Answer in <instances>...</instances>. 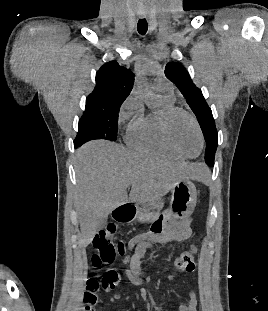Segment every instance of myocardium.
<instances>
[{"label": "myocardium", "instance_id": "myocardium-1", "mask_svg": "<svg viewBox=\"0 0 268 311\" xmlns=\"http://www.w3.org/2000/svg\"><path fill=\"white\" fill-rule=\"evenodd\" d=\"M178 114H184L186 115L195 126L197 133L200 138V148L196 155H189L182 151L177 144L175 143L173 136H172V121ZM162 133L164 136V139L168 146L178 155L185 157V158H195L199 156V154L202 152L204 148V135L202 132V129L200 127V124L196 117L188 110L178 107V106H171L165 109L163 116H162Z\"/></svg>", "mask_w": 268, "mask_h": 311}]
</instances>
